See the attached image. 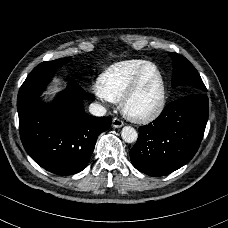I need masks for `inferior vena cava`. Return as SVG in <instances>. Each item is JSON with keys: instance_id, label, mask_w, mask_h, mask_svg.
<instances>
[{"instance_id": "inferior-vena-cava-1", "label": "inferior vena cava", "mask_w": 228, "mask_h": 228, "mask_svg": "<svg viewBox=\"0 0 228 228\" xmlns=\"http://www.w3.org/2000/svg\"><path fill=\"white\" fill-rule=\"evenodd\" d=\"M89 112L94 116H104L106 114V108L97 103H91L89 105Z\"/></svg>"}]
</instances>
